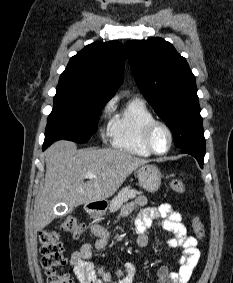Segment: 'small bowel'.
Listing matches in <instances>:
<instances>
[{
  "label": "small bowel",
  "instance_id": "small-bowel-1",
  "mask_svg": "<svg viewBox=\"0 0 233 283\" xmlns=\"http://www.w3.org/2000/svg\"><path fill=\"white\" fill-rule=\"evenodd\" d=\"M144 197H137L131 204L122 210V216L140 210L135 220L137 245L145 247L149 243L148 229L154 221H158L164 232L168 235L166 241L169 247L182 250L178 271H170L167 266H161L157 272L159 283H187L200 257L197 240L187 234L182 222V216L172 209L168 203L159 206H145ZM92 233L97 237L94 243H85L81 248L71 254L70 264L80 283H134L136 266L129 264L126 273L117 270L115 278L105 271L103 267H96L92 262L93 250H104L108 246L111 234L99 225L91 227Z\"/></svg>",
  "mask_w": 233,
  "mask_h": 283
}]
</instances>
